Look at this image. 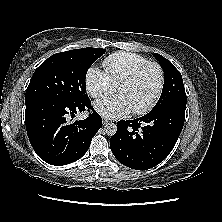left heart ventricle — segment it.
<instances>
[{"mask_svg": "<svg viewBox=\"0 0 222 222\" xmlns=\"http://www.w3.org/2000/svg\"><path fill=\"white\" fill-rule=\"evenodd\" d=\"M158 86V73L154 67L146 68L135 81L117 88L124 95L131 107L137 109L144 106L154 95Z\"/></svg>", "mask_w": 222, "mask_h": 222, "instance_id": "left-heart-ventricle-1", "label": "left heart ventricle"}]
</instances>
